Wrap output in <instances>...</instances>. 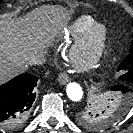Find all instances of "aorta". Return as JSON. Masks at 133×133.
Returning <instances> with one entry per match:
<instances>
[{"mask_svg":"<svg viewBox=\"0 0 133 133\" xmlns=\"http://www.w3.org/2000/svg\"><path fill=\"white\" fill-rule=\"evenodd\" d=\"M66 93L70 100L78 102L83 98V90L78 83L70 82L66 86Z\"/></svg>","mask_w":133,"mask_h":133,"instance_id":"aorta-1","label":"aorta"}]
</instances>
